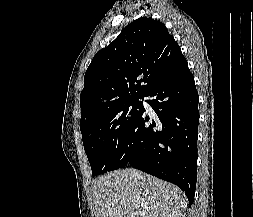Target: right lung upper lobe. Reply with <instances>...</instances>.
Returning a JSON list of instances; mask_svg holds the SVG:
<instances>
[{"label": "right lung upper lobe", "mask_w": 253, "mask_h": 217, "mask_svg": "<svg viewBox=\"0 0 253 217\" xmlns=\"http://www.w3.org/2000/svg\"><path fill=\"white\" fill-rule=\"evenodd\" d=\"M184 60L163 23L151 17L134 20L89 65L80 95V125L119 102L144 97Z\"/></svg>", "instance_id": "right-lung-upper-lobe-1"}]
</instances>
